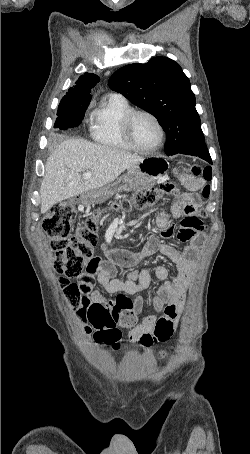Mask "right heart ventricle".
<instances>
[{
  "label": "right heart ventricle",
  "mask_w": 250,
  "mask_h": 454,
  "mask_svg": "<svg viewBox=\"0 0 250 454\" xmlns=\"http://www.w3.org/2000/svg\"><path fill=\"white\" fill-rule=\"evenodd\" d=\"M131 110L133 108L127 100L116 95L102 102L91 115L90 134L93 140L111 149L130 151L122 135L121 121Z\"/></svg>",
  "instance_id": "e07e8e85"
}]
</instances>
